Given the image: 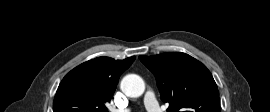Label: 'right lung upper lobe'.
<instances>
[{"instance_id":"1","label":"right lung upper lobe","mask_w":270,"mask_h":112,"mask_svg":"<svg viewBox=\"0 0 270 112\" xmlns=\"http://www.w3.org/2000/svg\"><path fill=\"white\" fill-rule=\"evenodd\" d=\"M135 57L115 60L98 57L71 70L61 81L53 112H108L120 75Z\"/></svg>"}]
</instances>
